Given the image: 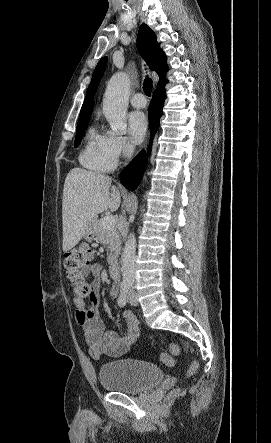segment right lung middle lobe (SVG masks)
Instances as JSON below:
<instances>
[{"instance_id":"dd1d6c3e","label":"right lung middle lobe","mask_w":271,"mask_h":443,"mask_svg":"<svg viewBox=\"0 0 271 443\" xmlns=\"http://www.w3.org/2000/svg\"><path fill=\"white\" fill-rule=\"evenodd\" d=\"M89 119H90V117L78 120L76 138H75V142H74L75 148L79 146V144L82 140V137H83L84 131L88 125Z\"/></svg>"}]
</instances>
